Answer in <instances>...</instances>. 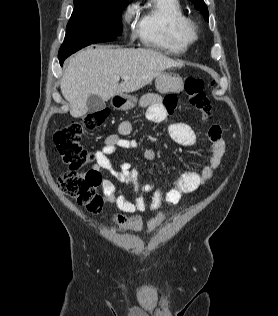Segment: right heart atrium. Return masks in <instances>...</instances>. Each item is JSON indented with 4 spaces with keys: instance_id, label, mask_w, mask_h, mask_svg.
I'll use <instances>...</instances> for the list:
<instances>
[{
    "instance_id": "1",
    "label": "right heart atrium",
    "mask_w": 278,
    "mask_h": 316,
    "mask_svg": "<svg viewBox=\"0 0 278 316\" xmlns=\"http://www.w3.org/2000/svg\"><path fill=\"white\" fill-rule=\"evenodd\" d=\"M137 17L136 7L134 4H126L121 12V20L123 24L130 25L132 24Z\"/></svg>"
}]
</instances>
